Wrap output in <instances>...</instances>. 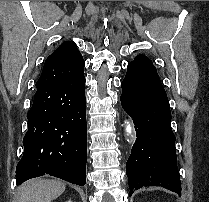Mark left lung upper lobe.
Returning <instances> with one entry per match:
<instances>
[{
  "mask_svg": "<svg viewBox=\"0 0 209 202\" xmlns=\"http://www.w3.org/2000/svg\"><path fill=\"white\" fill-rule=\"evenodd\" d=\"M131 63L140 65V66L147 68L151 71L157 72L156 68L152 64L151 60L148 57H146L145 55H142V54L138 55L137 57H135V59Z\"/></svg>",
  "mask_w": 209,
  "mask_h": 202,
  "instance_id": "1",
  "label": "left lung upper lobe"
}]
</instances>
